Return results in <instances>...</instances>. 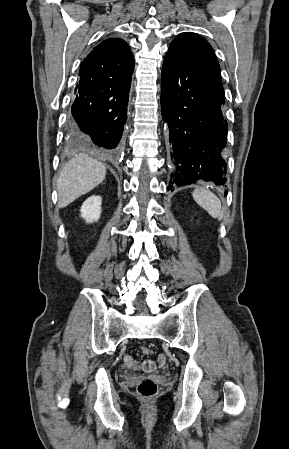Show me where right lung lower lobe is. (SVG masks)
I'll use <instances>...</instances> for the list:
<instances>
[{
    "label": "right lung lower lobe",
    "instance_id": "98d812e1",
    "mask_svg": "<svg viewBox=\"0 0 289 449\" xmlns=\"http://www.w3.org/2000/svg\"><path fill=\"white\" fill-rule=\"evenodd\" d=\"M133 68L100 78L80 77L69 117V130L113 154L121 145Z\"/></svg>",
    "mask_w": 289,
    "mask_h": 449
}]
</instances>
